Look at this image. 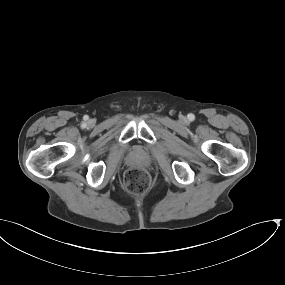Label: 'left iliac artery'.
<instances>
[{"label":"left iliac artery","mask_w":285,"mask_h":285,"mask_svg":"<svg viewBox=\"0 0 285 285\" xmlns=\"http://www.w3.org/2000/svg\"><path fill=\"white\" fill-rule=\"evenodd\" d=\"M188 119H189V121H194L195 116L192 113H190V114H188Z\"/></svg>","instance_id":"44dca946"}]
</instances>
